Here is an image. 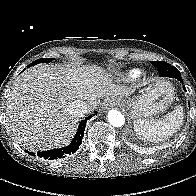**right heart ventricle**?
Segmentation results:
<instances>
[{
    "label": "right heart ventricle",
    "mask_w": 196,
    "mask_h": 196,
    "mask_svg": "<svg viewBox=\"0 0 196 196\" xmlns=\"http://www.w3.org/2000/svg\"><path fill=\"white\" fill-rule=\"evenodd\" d=\"M140 75H141V72L139 70L134 69L122 75V77L124 79L133 80V79L138 78Z\"/></svg>",
    "instance_id": "1"
}]
</instances>
